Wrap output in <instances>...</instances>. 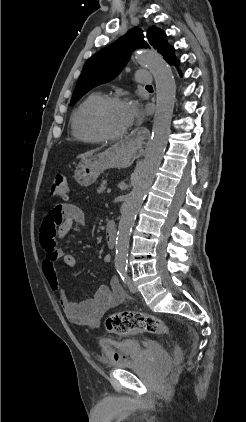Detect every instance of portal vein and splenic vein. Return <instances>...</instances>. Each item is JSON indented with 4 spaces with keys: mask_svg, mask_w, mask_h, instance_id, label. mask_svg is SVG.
I'll return each mask as SVG.
<instances>
[{
    "mask_svg": "<svg viewBox=\"0 0 246 422\" xmlns=\"http://www.w3.org/2000/svg\"><path fill=\"white\" fill-rule=\"evenodd\" d=\"M107 193H111V188H108L107 189Z\"/></svg>",
    "mask_w": 246,
    "mask_h": 422,
    "instance_id": "portal-vein-and-splenic-vein-1",
    "label": "portal vein and splenic vein"
}]
</instances>
